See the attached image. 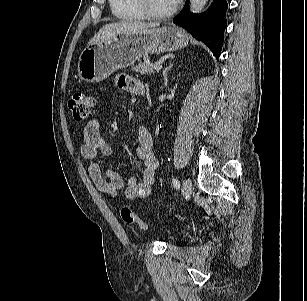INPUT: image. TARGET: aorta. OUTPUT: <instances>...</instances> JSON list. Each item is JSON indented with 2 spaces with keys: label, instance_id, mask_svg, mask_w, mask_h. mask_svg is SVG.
Listing matches in <instances>:
<instances>
[{
  "label": "aorta",
  "instance_id": "aorta-1",
  "mask_svg": "<svg viewBox=\"0 0 307 301\" xmlns=\"http://www.w3.org/2000/svg\"><path fill=\"white\" fill-rule=\"evenodd\" d=\"M208 0H190V9L193 13H199L203 10Z\"/></svg>",
  "mask_w": 307,
  "mask_h": 301
}]
</instances>
